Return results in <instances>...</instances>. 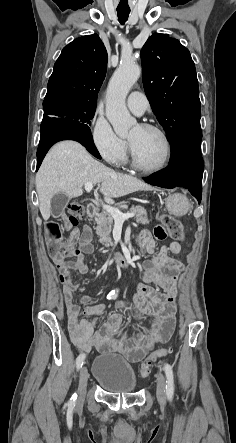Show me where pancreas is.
<instances>
[{"mask_svg":"<svg viewBox=\"0 0 236 443\" xmlns=\"http://www.w3.org/2000/svg\"><path fill=\"white\" fill-rule=\"evenodd\" d=\"M127 213H134L137 223L144 225L149 224L147 218V212L142 206H132ZM96 234L99 236V242L105 247L113 246L112 238L110 237L112 227L114 224V218L106 211L97 214L96 220Z\"/></svg>","mask_w":236,"mask_h":443,"instance_id":"obj_1","label":"pancreas"}]
</instances>
